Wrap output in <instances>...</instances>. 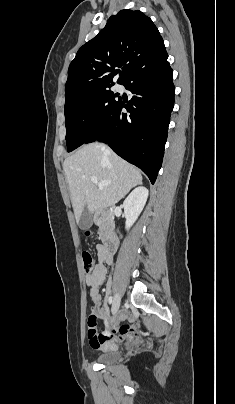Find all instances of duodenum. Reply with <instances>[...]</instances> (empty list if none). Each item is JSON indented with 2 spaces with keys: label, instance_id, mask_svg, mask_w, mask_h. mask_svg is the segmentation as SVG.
<instances>
[{
  "label": "duodenum",
  "instance_id": "obj_1",
  "mask_svg": "<svg viewBox=\"0 0 235 404\" xmlns=\"http://www.w3.org/2000/svg\"><path fill=\"white\" fill-rule=\"evenodd\" d=\"M94 221L100 226V233L108 253L113 256L115 253L118 241L113 233V213L107 210L99 213L94 217Z\"/></svg>",
  "mask_w": 235,
  "mask_h": 404
}]
</instances>
